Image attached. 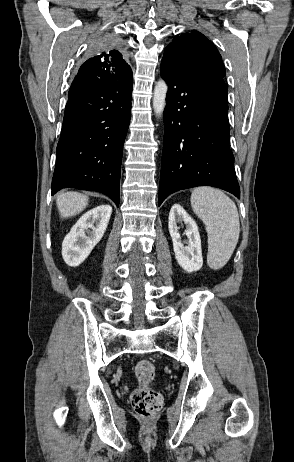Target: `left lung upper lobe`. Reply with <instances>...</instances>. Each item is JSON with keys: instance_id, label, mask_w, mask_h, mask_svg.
<instances>
[{"instance_id": "5c2ea615", "label": "left lung upper lobe", "mask_w": 294, "mask_h": 462, "mask_svg": "<svg viewBox=\"0 0 294 462\" xmlns=\"http://www.w3.org/2000/svg\"><path fill=\"white\" fill-rule=\"evenodd\" d=\"M161 64L208 80H223L225 67L215 45L193 30L177 35L164 52Z\"/></svg>"}]
</instances>
